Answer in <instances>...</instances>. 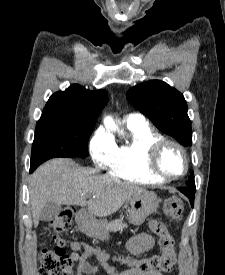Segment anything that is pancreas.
<instances>
[{
	"label": "pancreas",
	"mask_w": 225,
	"mask_h": 275,
	"mask_svg": "<svg viewBox=\"0 0 225 275\" xmlns=\"http://www.w3.org/2000/svg\"><path fill=\"white\" fill-rule=\"evenodd\" d=\"M124 228H127V224L123 222V218L116 219L106 225L107 231L117 232L123 230Z\"/></svg>",
	"instance_id": "1"
}]
</instances>
